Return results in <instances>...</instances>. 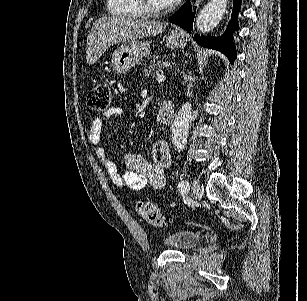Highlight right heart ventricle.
Wrapping results in <instances>:
<instances>
[{
    "label": "right heart ventricle",
    "mask_w": 307,
    "mask_h": 301,
    "mask_svg": "<svg viewBox=\"0 0 307 301\" xmlns=\"http://www.w3.org/2000/svg\"><path fill=\"white\" fill-rule=\"evenodd\" d=\"M137 0H107V17H141V10H135Z\"/></svg>",
    "instance_id": "1"
}]
</instances>
